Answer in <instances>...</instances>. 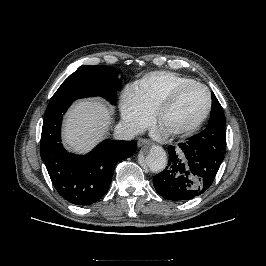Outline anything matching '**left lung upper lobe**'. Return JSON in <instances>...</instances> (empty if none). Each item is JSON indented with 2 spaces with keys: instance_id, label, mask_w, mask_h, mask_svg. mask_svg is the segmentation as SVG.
I'll return each mask as SVG.
<instances>
[{
  "instance_id": "obj_1",
  "label": "left lung upper lobe",
  "mask_w": 266,
  "mask_h": 266,
  "mask_svg": "<svg viewBox=\"0 0 266 266\" xmlns=\"http://www.w3.org/2000/svg\"><path fill=\"white\" fill-rule=\"evenodd\" d=\"M223 109L212 93V110L207 128L189 138L193 143L212 155H224L226 151V129Z\"/></svg>"
}]
</instances>
